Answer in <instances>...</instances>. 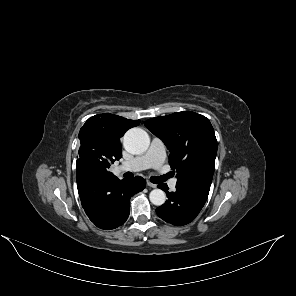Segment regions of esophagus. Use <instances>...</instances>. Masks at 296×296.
<instances>
[{
    "label": "esophagus",
    "instance_id": "1",
    "mask_svg": "<svg viewBox=\"0 0 296 296\" xmlns=\"http://www.w3.org/2000/svg\"><path fill=\"white\" fill-rule=\"evenodd\" d=\"M147 185H148L149 187H152V188H156V187H157L156 184H154V183H152V182H150V181H147Z\"/></svg>",
    "mask_w": 296,
    "mask_h": 296
}]
</instances>
